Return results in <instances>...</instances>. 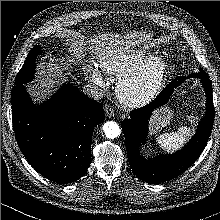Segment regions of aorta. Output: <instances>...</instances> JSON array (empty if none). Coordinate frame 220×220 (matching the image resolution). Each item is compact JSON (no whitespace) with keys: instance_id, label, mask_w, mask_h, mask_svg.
<instances>
[{"instance_id":"762f6f07","label":"aorta","mask_w":220,"mask_h":220,"mask_svg":"<svg viewBox=\"0 0 220 220\" xmlns=\"http://www.w3.org/2000/svg\"><path fill=\"white\" fill-rule=\"evenodd\" d=\"M103 131L107 138L114 139L120 135L119 125L114 121H108L103 125Z\"/></svg>"}]
</instances>
